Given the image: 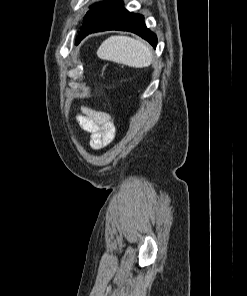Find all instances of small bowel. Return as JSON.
Returning a JSON list of instances; mask_svg holds the SVG:
<instances>
[{
	"label": "small bowel",
	"instance_id": "1",
	"mask_svg": "<svg viewBox=\"0 0 247 296\" xmlns=\"http://www.w3.org/2000/svg\"><path fill=\"white\" fill-rule=\"evenodd\" d=\"M77 121L81 129L90 134L89 143L93 149H101L112 141L115 124L108 113L82 106Z\"/></svg>",
	"mask_w": 247,
	"mask_h": 296
}]
</instances>
